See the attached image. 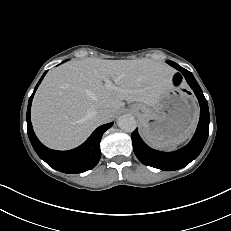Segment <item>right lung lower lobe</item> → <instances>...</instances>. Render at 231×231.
<instances>
[{
  "mask_svg": "<svg viewBox=\"0 0 231 231\" xmlns=\"http://www.w3.org/2000/svg\"><path fill=\"white\" fill-rule=\"evenodd\" d=\"M46 72L39 80L28 102L26 121L30 142L38 156L55 170L70 174L88 171L95 167L99 162L101 157L100 141L102 135L113 125V122L98 127L82 145L75 149L69 151H55L45 147L37 139L33 131L30 120V111L34 93L44 78Z\"/></svg>",
  "mask_w": 231,
  "mask_h": 231,
  "instance_id": "98d812e1",
  "label": "right lung lower lobe"
}]
</instances>
